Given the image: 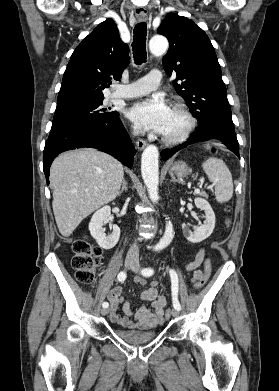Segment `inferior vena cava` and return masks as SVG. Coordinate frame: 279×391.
I'll return each instance as SVG.
<instances>
[{"label": "inferior vena cava", "instance_id": "obj_1", "mask_svg": "<svg viewBox=\"0 0 279 391\" xmlns=\"http://www.w3.org/2000/svg\"><path fill=\"white\" fill-rule=\"evenodd\" d=\"M133 134H134V135H138V134H139V130H138L137 128H134ZM138 252H139V249H138V246H137L136 243H135V244H133V245L130 247V249H129V251H128V254H129V255H137Z\"/></svg>", "mask_w": 279, "mask_h": 391}]
</instances>
